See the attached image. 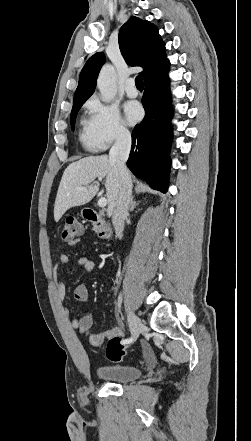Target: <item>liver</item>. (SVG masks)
I'll list each match as a JSON object with an SVG mask.
<instances>
[{
    "label": "liver",
    "mask_w": 251,
    "mask_h": 441,
    "mask_svg": "<svg viewBox=\"0 0 251 441\" xmlns=\"http://www.w3.org/2000/svg\"><path fill=\"white\" fill-rule=\"evenodd\" d=\"M104 177L107 214L112 215L119 193L116 165L107 155L89 156L69 164L65 169L54 204L55 221L58 222L68 209L90 202L99 191V184H93L95 179L101 180ZM78 187L85 189L80 190Z\"/></svg>",
    "instance_id": "1"
}]
</instances>
